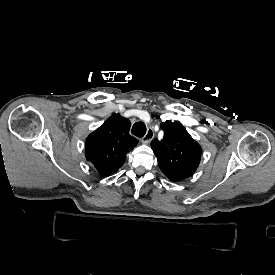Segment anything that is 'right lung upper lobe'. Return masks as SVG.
Masks as SVG:
<instances>
[{
  "instance_id": "1",
  "label": "right lung upper lobe",
  "mask_w": 275,
  "mask_h": 275,
  "mask_svg": "<svg viewBox=\"0 0 275 275\" xmlns=\"http://www.w3.org/2000/svg\"><path fill=\"white\" fill-rule=\"evenodd\" d=\"M130 126L128 119L114 114L87 137L86 158L101 175L116 172L137 145L138 140L129 134Z\"/></svg>"
}]
</instances>
